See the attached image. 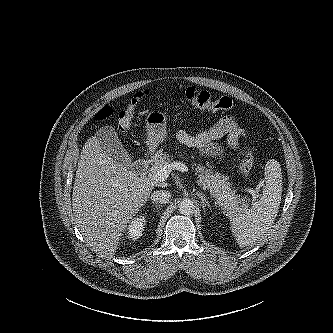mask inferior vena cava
I'll return each instance as SVG.
<instances>
[{"instance_id": "obj_1", "label": "inferior vena cava", "mask_w": 333, "mask_h": 333, "mask_svg": "<svg viewBox=\"0 0 333 333\" xmlns=\"http://www.w3.org/2000/svg\"><path fill=\"white\" fill-rule=\"evenodd\" d=\"M170 197H171L170 192L166 190H157L152 193L151 200L163 204L167 203Z\"/></svg>"}]
</instances>
